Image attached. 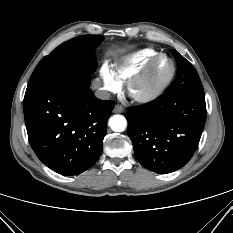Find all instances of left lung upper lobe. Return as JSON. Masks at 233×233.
I'll use <instances>...</instances> for the list:
<instances>
[{"instance_id": "1", "label": "left lung upper lobe", "mask_w": 233, "mask_h": 233, "mask_svg": "<svg viewBox=\"0 0 233 233\" xmlns=\"http://www.w3.org/2000/svg\"><path fill=\"white\" fill-rule=\"evenodd\" d=\"M173 54L177 63V75L164 93L204 95L203 86L195 68L176 50H173Z\"/></svg>"}]
</instances>
